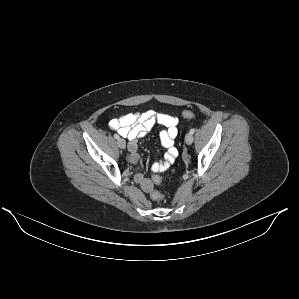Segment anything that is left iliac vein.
<instances>
[{
	"instance_id": "1",
	"label": "left iliac vein",
	"mask_w": 299,
	"mask_h": 299,
	"mask_svg": "<svg viewBox=\"0 0 299 299\" xmlns=\"http://www.w3.org/2000/svg\"><path fill=\"white\" fill-rule=\"evenodd\" d=\"M185 142L188 145L192 144V142H193V134L192 133L189 132L185 135Z\"/></svg>"
}]
</instances>
